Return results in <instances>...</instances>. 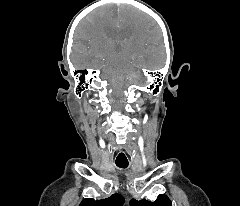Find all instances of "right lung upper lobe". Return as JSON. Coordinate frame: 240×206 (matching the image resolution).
<instances>
[{"instance_id": "cb5924a9", "label": "right lung upper lobe", "mask_w": 240, "mask_h": 206, "mask_svg": "<svg viewBox=\"0 0 240 206\" xmlns=\"http://www.w3.org/2000/svg\"><path fill=\"white\" fill-rule=\"evenodd\" d=\"M124 198L120 194H113L111 197L95 201L94 199L86 198L79 206H122Z\"/></svg>"}]
</instances>
